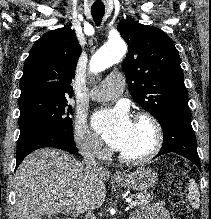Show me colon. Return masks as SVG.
Here are the masks:
<instances>
[{"mask_svg":"<svg viewBox=\"0 0 211 219\" xmlns=\"http://www.w3.org/2000/svg\"><path fill=\"white\" fill-rule=\"evenodd\" d=\"M189 166L186 162H178L168 174V188L172 206V219H191V211L185 200L187 187V174ZM42 219H68L61 216L50 215Z\"/></svg>","mask_w":211,"mask_h":219,"instance_id":"obj_1","label":"colon"}]
</instances>
